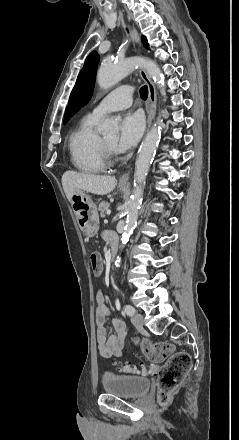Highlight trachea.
I'll list each match as a JSON object with an SVG mask.
<instances>
[{"label": "trachea", "mask_w": 239, "mask_h": 440, "mask_svg": "<svg viewBox=\"0 0 239 440\" xmlns=\"http://www.w3.org/2000/svg\"><path fill=\"white\" fill-rule=\"evenodd\" d=\"M148 94H149V92H148V88H147L146 85H144L143 87L140 88V96H141V98L146 100L147 97H148Z\"/></svg>", "instance_id": "3493384b"}]
</instances>
